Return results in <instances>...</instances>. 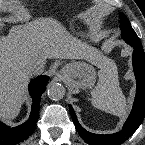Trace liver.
Returning a JSON list of instances; mask_svg holds the SVG:
<instances>
[{
  "label": "liver",
  "mask_w": 145,
  "mask_h": 145,
  "mask_svg": "<svg viewBox=\"0 0 145 145\" xmlns=\"http://www.w3.org/2000/svg\"><path fill=\"white\" fill-rule=\"evenodd\" d=\"M85 59L101 70L116 66L102 59L97 51L75 37L66 35L60 24L41 18L24 27H13L0 38V118L10 122L25 100V87L30 75L26 65L38 60Z\"/></svg>",
  "instance_id": "1"
}]
</instances>
